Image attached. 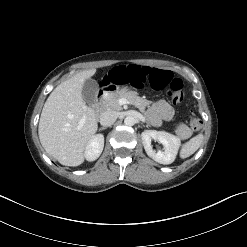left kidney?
Segmentation results:
<instances>
[{
  "label": "left kidney",
  "mask_w": 247,
  "mask_h": 247,
  "mask_svg": "<svg viewBox=\"0 0 247 247\" xmlns=\"http://www.w3.org/2000/svg\"><path fill=\"white\" fill-rule=\"evenodd\" d=\"M144 149L147 155L160 164H171L181 145L180 138L165 131L145 130L141 134ZM152 140H156L164 147V151H155Z\"/></svg>",
  "instance_id": "1"
}]
</instances>
